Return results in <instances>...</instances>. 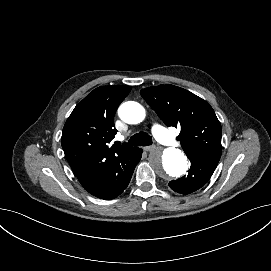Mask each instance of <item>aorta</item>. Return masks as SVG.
Here are the masks:
<instances>
[{
    "instance_id": "aorta-1",
    "label": "aorta",
    "mask_w": 271,
    "mask_h": 271,
    "mask_svg": "<svg viewBox=\"0 0 271 271\" xmlns=\"http://www.w3.org/2000/svg\"><path fill=\"white\" fill-rule=\"evenodd\" d=\"M119 117L128 124H138L145 118V109L137 102L123 103L118 109ZM149 163L153 170L163 178H177L186 173L188 160L185 154L176 148L163 151L154 150L149 155Z\"/></svg>"
}]
</instances>
